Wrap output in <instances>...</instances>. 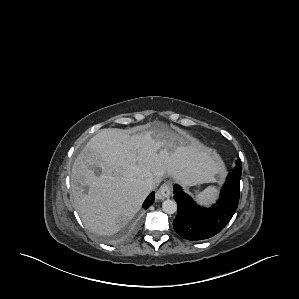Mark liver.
Instances as JSON below:
<instances>
[{"mask_svg":"<svg viewBox=\"0 0 299 299\" xmlns=\"http://www.w3.org/2000/svg\"><path fill=\"white\" fill-rule=\"evenodd\" d=\"M223 170L218 155L181 129L160 123L134 135L117 128L102 129L74 161L73 204L87 229L111 235L140 209L149 194L147 179L158 184L166 174L193 186L213 182Z\"/></svg>","mask_w":299,"mask_h":299,"instance_id":"6515ba94","label":"liver"}]
</instances>
